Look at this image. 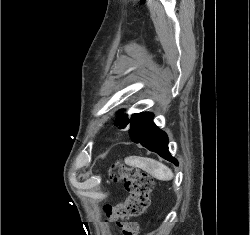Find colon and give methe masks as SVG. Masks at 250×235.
Here are the masks:
<instances>
[{
  "label": "colon",
  "instance_id": "1",
  "mask_svg": "<svg viewBox=\"0 0 250 235\" xmlns=\"http://www.w3.org/2000/svg\"><path fill=\"white\" fill-rule=\"evenodd\" d=\"M107 178L111 182L122 181L128 194L123 204L105 206L107 218L120 227L123 235H138L139 224L133 218L147 210L153 179L140 169L121 162L111 165Z\"/></svg>",
  "mask_w": 250,
  "mask_h": 235
}]
</instances>
